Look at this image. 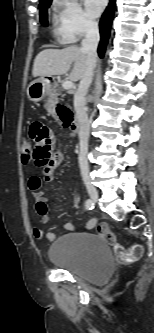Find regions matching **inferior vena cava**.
Instances as JSON below:
<instances>
[{"instance_id": "602c4592", "label": "inferior vena cava", "mask_w": 154, "mask_h": 333, "mask_svg": "<svg viewBox=\"0 0 154 333\" xmlns=\"http://www.w3.org/2000/svg\"><path fill=\"white\" fill-rule=\"evenodd\" d=\"M85 37L81 42L82 49L87 53L86 71L79 83L78 89L74 95V108L79 127V167L82 174L89 173L87 160L88 140L90 133V122L87 115L86 99L88 88L92 83L94 68L97 62V47L100 40L98 24L93 21H87L84 25Z\"/></svg>"}]
</instances>
